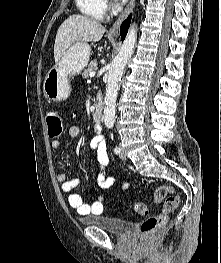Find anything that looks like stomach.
Returning <instances> with one entry per match:
<instances>
[{
  "instance_id": "0dacf381",
  "label": "stomach",
  "mask_w": 221,
  "mask_h": 263,
  "mask_svg": "<svg viewBox=\"0 0 221 263\" xmlns=\"http://www.w3.org/2000/svg\"><path fill=\"white\" fill-rule=\"evenodd\" d=\"M90 55L91 48L86 43H76L70 47L48 71L43 83L45 96L51 101L67 99L71 93L69 78L87 66Z\"/></svg>"
}]
</instances>
